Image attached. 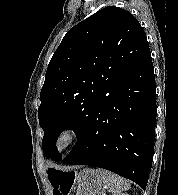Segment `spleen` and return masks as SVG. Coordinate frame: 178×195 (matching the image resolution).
Returning a JSON list of instances; mask_svg holds the SVG:
<instances>
[{
    "mask_svg": "<svg viewBox=\"0 0 178 195\" xmlns=\"http://www.w3.org/2000/svg\"><path fill=\"white\" fill-rule=\"evenodd\" d=\"M96 171L113 195H119L122 191L129 190V183L122 177L102 169Z\"/></svg>",
    "mask_w": 178,
    "mask_h": 195,
    "instance_id": "3e777b00",
    "label": "spleen"
}]
</instances>
